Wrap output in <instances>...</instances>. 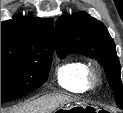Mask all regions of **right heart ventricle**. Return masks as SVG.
<instances>
[{
  "label": "right heart ventricle",
  "instance_id": "e07e8e85",
  "mask_svg": "<svg viewBox=\"0 0 123 113\" xmlns=\"http://www.w3.org/2000/svg\"><path fill=\"white\" fill-rule=\"evenodd\" d=\"M86 65L80 60H70L58 65L56 77L59 85L70 91H80L87 86Z\"/></svg>",
  "mask_w": 123,
  "mask_h": 113
}]
</instances>
